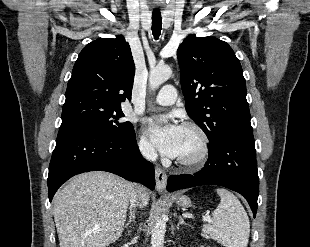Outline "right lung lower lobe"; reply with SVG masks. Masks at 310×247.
Wrapping results in <instances>:
<instances>
[{
    "label": "right lung lower lobe",
    "instance_id": "right-lung-lower-lobe-1",
    "mask_svg": "<svg viewBox=\"0 0 310 247\" xmlns=\"http://www.w3.org/2000/svg\"><path fill=\"white\" fill-rule=\"evenodd\" d=\"M88 171L111 172L155 188L154 167L142 161L134 129L122 136L93 128L60 129L49 166L50 202L65 181Z\"/></svg>",
    "mask_w": 310,
    "mask_h": 247
}]
</instances>
